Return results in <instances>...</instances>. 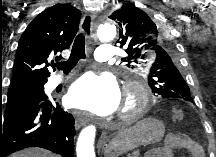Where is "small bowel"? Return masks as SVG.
<instances>
[{"label": "small bowel", "instance_id": "small-bowel-1", "mask_svg": "<svg viewBox=\"0 0 216 157\" xmlns=\"http://www.w3.org/2000/svg\"><path fill=\"white\" fill-rule=\"evenodd\" d=\"M177 149L189 152L192 157H204L205 155L201 145L190 136L170 133L159 153V157H173L174 151Z\"/></svg>", "mask_w": 216, "mask_h": 157}]
</instances>
